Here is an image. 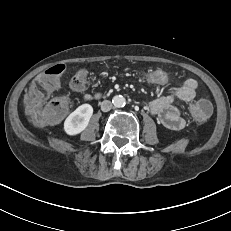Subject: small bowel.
<instances>
[{"label": "small bowel", "mask_w": 231, "mask_h": 231, "mask_svg": "<svg viewBox=\"0 0 231 231\" xmlns=\"http://www.w3.org/2000/svg\"><path fill=\"white\" fill-rule=\"evenodd\" d=\"M197 88L198 82L195 79H187L182 85L175 88L172 93L152 100L149 103V112L157 117L159 123L164 127L171 130H180L185 126V120L175 102L194 100ZM82 97L87 101L94 98L93 95L88 93L83 94Z\"/></svg>", "instance_id": "1"}]
</instances>
